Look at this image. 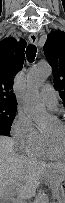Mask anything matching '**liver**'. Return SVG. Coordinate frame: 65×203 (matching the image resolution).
Listing matches in <instances>:
<instances>
[{"instance_id":"liver-1","label":"liver","mask_w":65,"mask_h":203,"mask_svg":"<svg viewBox=\"0 0 65 203\" xmlns=\"http://www.w3.org/2000/svg\"><path fill=\"white\" fill-rule=\"evenodd\" d=\"M63 169V164L46 163L17 154L14 150V141L9 137H0L1 200L15 194L19 200L13 203L31 198L42 176L49 177L51 171L63 172Z\"/></svg>"}]
</instances>
